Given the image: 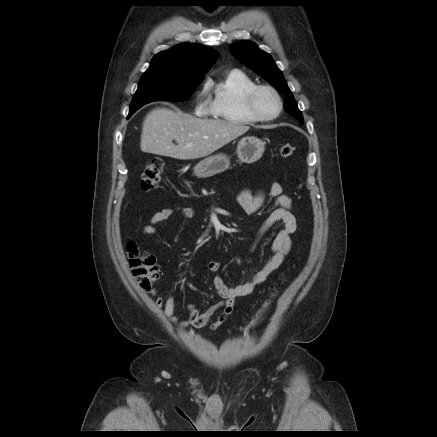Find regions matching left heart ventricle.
I'll return each instance as SVG.
<instances>
[{"label": "left heart ventricle", "instance_id": "obj_1", "mask_svg": "<svg viewBox=\"0 0 437 437\" xmlns=\"http://www.w3.org/2000/svg\"><path fill=\"white\" fill-rule=\"evenodd\" d=\"M256 108L263 116H272L277 112L278 103L269 91H261L256 98Z\"/></svg>", "mask_w": 437, "mask_h": 437}]
</instances>
